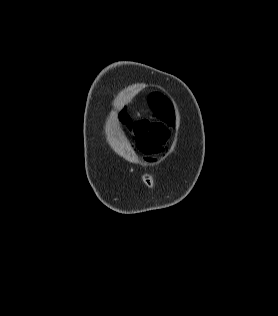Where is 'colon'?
Masks as SVG:
<instances>
[{
    "mask_svg": "<svg viewBox=\"0 0 278 316\" xmlns=\"http://www.w3.org/2000/svg\"><path fill=\"white\" fill-rule=\"evenodd\" d=\"M125 124L133 134L137 148L144 154L154 155L163 151L169 139V131L163 124L147 120H126Z\"/></svg>",
    "mask_w": 278,
    "mask_h": 316,
    "instance_id": "obj_1",
    "label": "colon"
}]
</instances>
